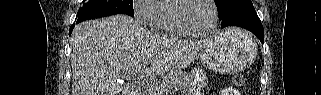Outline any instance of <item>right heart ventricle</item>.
Returning a JSON list of instances; mask_svg holds the SVG:
<instances>
[{"label":"right heart ventricle","mask_w":321,"mask_h":95,"mask_svg":"<svg viewBox=\"0 0 321 95\" xmlns=\"http://www.w3.org/2000/svg\"><path fill=\"white\" fill-rule=\"evenodd\" d=\"M172 0H162L157 3V12L155 17L150 23V26L155 30H161L166 32H175L169 25L167 16L168 9L172 4Z\"/></svg>","instance_id":"1"}]
</instances>
